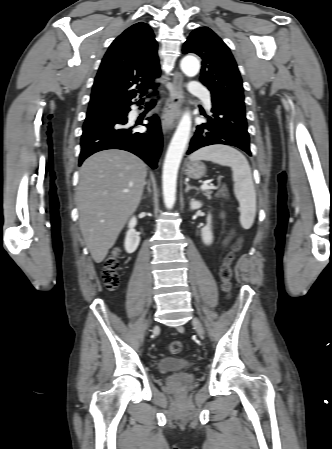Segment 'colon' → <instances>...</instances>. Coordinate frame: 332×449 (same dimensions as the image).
Returning <instances> with one entry per match:
<instances>
[{"label":"colon","instance_id":"colon-1","mask_svg":"<svg viewBox=\"0 0 332 449\" xmlns=\"http://www.w3.org/2000/svg\"><path fill=\"white\" fill-rule=\"evenodd\" d=\"M228 191L225 185H222L217 190V197L220 199H225L227 197ZM242 239H238L232 246L231 251L225 256L222 265L220 267V278L222 280V287L225 292L230 293L232 290V269L231 264L235 258V254L239 251L241 247ZM120 250L115 249L110 256L107 257L104 263V269L102 272V282L104 287L109 291H114L119 285V274L120 269ZM183 351V345L179 341H173L169 345V352L172 355H178Z\"/></svg>","mask_w":332,"mask_h":449}]
</instances>
